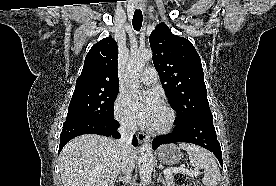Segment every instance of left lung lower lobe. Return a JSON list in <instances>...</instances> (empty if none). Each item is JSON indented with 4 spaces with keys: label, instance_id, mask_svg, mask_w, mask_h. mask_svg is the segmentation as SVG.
<instances>
[{
    "label": "left lung lower lobe",
    "instance_id": "1",
    "mask_svg": "<svg viewBox=\"0 0 276 186\" xmlns=\"http://www.w3.org/2000/svg\"><path fill=\"white\" fill-rule=\"evenodd\" d=\"M187 142L199 145L211 151L223 167L221 147L216 137L213 116H203L190 122L176 125L171 134L157 136L153 142V149L162 144Z\"/></svg>",
    "mask_w": 276,
    "mask_h": 186
}]
</instances>
